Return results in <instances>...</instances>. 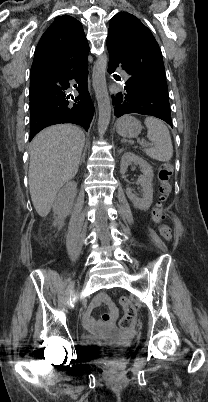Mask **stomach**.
I'll return each mask as SVG.
<instances>
[{
    "mask_svg": "<svg viewBox=\"0 0 208 402\" xmlns=\"http://www.w3.org/2000/svg\"><path fill=\"white\" fill-rule=\"evenodd\" d=\"M117 134L124 136V138H137L142 130V126L133 116H122L117 122Z\"/></svg>",
    "mask_w": 208,
    "mask_h": 402,
    "instance_id": "obj_1",
    "label": "stomach"
}]
</instances>
